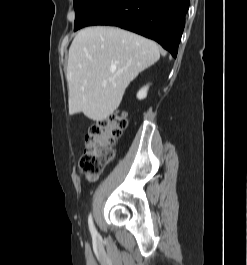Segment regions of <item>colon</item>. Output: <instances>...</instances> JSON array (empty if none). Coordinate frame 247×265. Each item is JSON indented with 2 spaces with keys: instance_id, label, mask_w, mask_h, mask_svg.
I'll return each mask as SVG.
<instances>
[{
  "instance_id": "colon-1",
  "label": "colon",
  "mask_w": 247,
  "mask_h": 265,
  "mask_svg": "<svg viewBox=\"0 0 247 265\" xmlns=\"http://www.w3.org/2000/svg\"><path fill=\"white\" fill-rule=\"evenodd\" d=\"M127 126L124 112H116L107 119L90 126L85 138L81 167L87 175H97L113 159V146Z\"/></svg>"
}]
</instances>
